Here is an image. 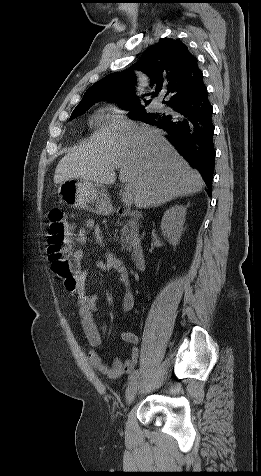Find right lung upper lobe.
<instances>
[{
  "label": "right lung upper lobe",
  "mask_w": 261,
  "mask_h": 476,
  "mask_svg": "<svg viewBox=\"0 0 261 476\" xmlns=\"http://www.w3.org/2000/svg\"><path fill=\"white\" fill-rule=\"evenodd\" d=\"M134 68L145 72L150 77L151 85L156 88L155 93L147 95L154 97L161 90H167L166 95L169 94L170 99L166 103L170 106L187 100L204 86L197 59L187 46L180 40L163 38L142 55L131 71L110 74L93 84L77 107L93 105L106 98L116 100L126 108L141 106L135 95Z\"/></svg>",
  "instance_id": "1"
}]
</instances>
